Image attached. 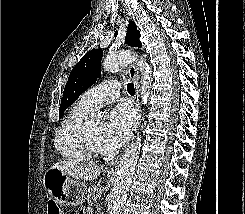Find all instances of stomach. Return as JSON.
Wrapping results in <instances>:
<instances>
[{"label":"stomach","instance_id":"1","mask_svg":"<svg viewBox=\"0 0 245 214\" xmlns=\"http://www.w3.org/2000/svg\"><path fill=\"white\" fill-rule=\"evenodd\" d=\"M43 184L51 198L60 206H77L84 202L87 188L84 183L75 181L58 169H48Z\"/></svg>","mask_w":245,"mask_h":214}]
</instances>
